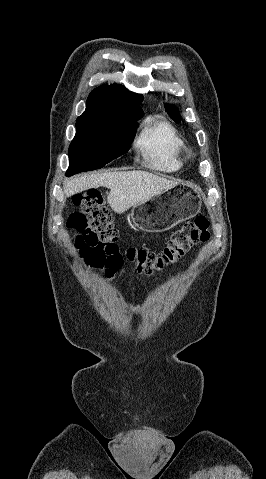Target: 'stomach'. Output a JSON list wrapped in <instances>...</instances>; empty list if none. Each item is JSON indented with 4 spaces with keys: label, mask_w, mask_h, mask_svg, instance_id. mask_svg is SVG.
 I'll return each mask as SVG.
<instances>
[{
    "label": "stomach",
    "mask_w": 266,
    "mask_h": 479,
    "mask_svg": "<svg viewBox=\"0 0 266 479\" xmlns=\"http://www.w3.org/2000/svg\"><path fill=\"white\" fill-rule=\"evenodd\" d=\"M200 207V189L192 184L178 183L133 206L131 219L136 228L158 233L194 217Z\"/></svg>",
    "instance_id": "stomach-1"
}]
</instances>
